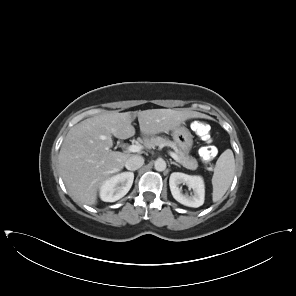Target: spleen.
Returning <instances> with one entry per match:
<instances>
[{
  "label": "spleen",
  "instance_id": "3e777b00",
  "mask_svg": "<svg viewBox=\"0 0 296 296\" xmlns=\"http://www.w3.org/2000/svg\"><path fill=\"white\" fill-rule=\"evenodd\" d=\"M235 170V159L231 149L225 150L216 162L212 177L213 202H218L230 187Z\"/></svg>",
  "mask_w": 296,
  "mask_h": 296
}]
</instances>
